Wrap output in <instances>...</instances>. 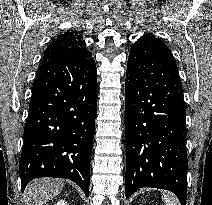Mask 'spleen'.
Here are the masks:
<instances>
[{"label": "spleen", "mask_w": 212, "mask_h": 205, "mask_svg": "<svg viewBox=\"0 0 212 205\" xmlns=\"http://www.w3.org/2000/svg\"><path fill=\"white\" fill-rule=\"evenodd\" d=\"M162 198L166 205H179L177 198L170 193L164 192Z\"/></svg>", "instance_id": "obj_1"}]
</instances>
